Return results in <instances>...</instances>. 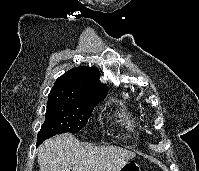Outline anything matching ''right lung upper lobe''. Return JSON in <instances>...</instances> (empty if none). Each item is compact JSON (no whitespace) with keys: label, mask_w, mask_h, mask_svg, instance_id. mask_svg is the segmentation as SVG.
I'll list each match as a JSON object with an SVG mask.
<instances>
[{"label":"right lung upper lobe","mask_w":199,"mask_h":171,"mask_svg":"<svg viewBox=\"0 0 199 171\" xmlns=\"http://www.w3.org/2000/svg\"><path fill=\"white\" fill-rule=\"evenodd\" d=\"M99 77V70L94 66L73 68L56 80L49 96L72 101L103 98L108 89L100 83Z\"/></svg>","instance_id":"obj_1"}]
</instances>
